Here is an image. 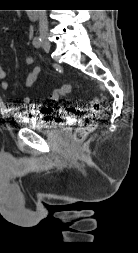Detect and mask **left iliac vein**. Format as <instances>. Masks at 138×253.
I'll list each match as a JSON object with an SVG mask.
<instances>
[{
	"label": "left iliac vein",
	"mask_w": 138,
	"mask_h": 253,
	"mask_svg": "<svg viewBox=\"0 0 138 253\" xmlns=\"http://www.w3.org/2000/svg\"><path fill=\"white\" fill-rule=\"evenodd\" d=\"M44 50H45L46 52H48V51H49V47L44 46Z\"/></svg>",
	"instance_id": "4c4485c4"
}]
</instances>
